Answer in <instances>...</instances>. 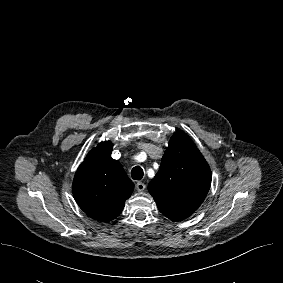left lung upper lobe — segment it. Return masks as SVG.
<instances>
[{
	"label": "left lung upper lobe",
	"instance_id": "left-lung-upper-lobe-1",
	"mask_svg": "<svg viewBox=\"0 0 283 283\" xmlns=\"http://www.w3.org/2000/svg\"><path fill=\"white\" fill-rule=\"evenodd\" d=\"M211 179L210 167L200 151L187 134L177 131L148 190L161 213L172 221H181L202 204Z\"/></svg>",
	"mask_w": 283,
	"mask_h": 283
}]
</instances>
